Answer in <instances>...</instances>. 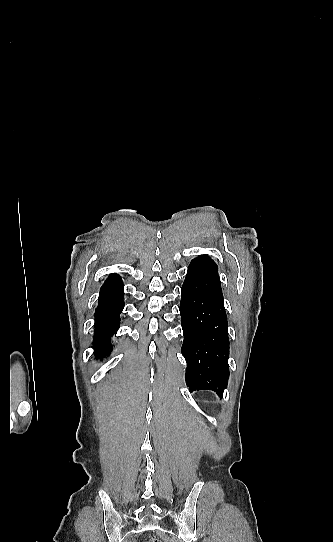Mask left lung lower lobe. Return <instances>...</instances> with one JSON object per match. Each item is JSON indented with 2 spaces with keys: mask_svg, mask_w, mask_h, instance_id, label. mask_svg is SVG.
Returning <instances> with one entry per match:
<instances>
[{
  "mask_svg": "<svg viewBox=\"0 0 333 542\" xmlns=\"http://www.w3.org/2000/svg\"><path fill=\"white\" fill-rule=\"evenodd\" d=\"M179 310L189 391L212 390L222 397L229 377L228 322L218 267L208 256L191 261Z\"/></svg>",
  "mask_w": 333,
  "mask_h": 542,
  "instance_id": "left-lung-lower-lobe-1",
  "label": "left lung lower lobe"
}]
</instances>
